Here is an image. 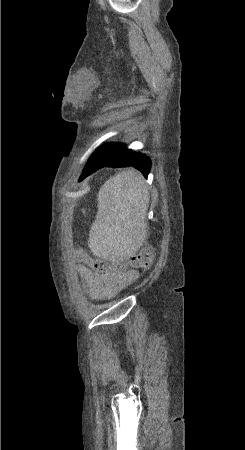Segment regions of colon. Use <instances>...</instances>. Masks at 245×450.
<instances>
[{
  "label": "colon",
  "mask_w": 245,
  "mask_h": 450,
  "mask_svg": "<svg viewBox=\"0 0 245 450\" xmlns=\"http://www.w3.org/2000/svg\"><path fill=\"white\" fill-rule=\"evenodd\" d=\"M153 253L154 251L152 248H141L137 252H135L128 261L116 262L112 267L117 271H122L123 267L126 264L131 265L132 267L137 269L148 268L152 263ZM77 257L78 259L89 265L92 271L96 274H103L111 267L110 265H108L106 260L97 257H91L82 249H79L77 251Z\"/></svg>",
  "instance_id": "1"
}]
</instances>
